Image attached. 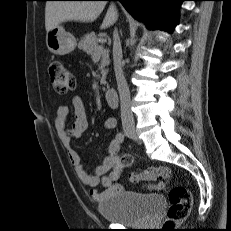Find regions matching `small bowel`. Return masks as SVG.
I'll return each mask as SVG.
<instances>
[{
	"mask_svg": "<svg viewBox=\"0 0 231 231\" xmlns=\"http://www.w3.org/2000/svg\"><path fill=\"white\" fill-rule=\"evenodd\" d=\"M73 110L74 120L70 126L67 125L70 112ZM88 126L87 111L82 98L76 96L72 99L71 106L61 105L57 109L55 128L61 144L66 152L69 163L73 166L78 180L90 187V196L95 202H101L114 195L123 193L126 188L119 182L124 165L119 155L121 143L117 137L111 139L107 149V155L101 164L89 172L81 163L80 156L72 147V141L80 139ZM116 126V120L108 117L104 121V128L112 130ZM117 136V135H116ZM165 176L169 177L171 172L162 168ZM101 185L104 190L100 191ZM164 183L158 182L147 187L149 191L160 192L164 189Z\"/></svg>",
	"mask_w": 231,
	"mask_h": 231,
	"instance_id": "1",
	"label": "small bowel"
}]
</instances>
